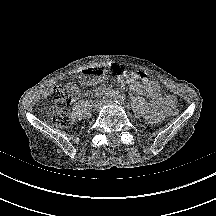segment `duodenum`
Listing matches in <instances>:
<instances>
[{"mask_svg":"<svg viewBox=\"0 0 216 216\" xmlns=\"http://www.w3.org/2000/svg\"><path fill=\"white\" fill-rule=\"evenodd\" d=\"M104 91H105V89H100V90H99V93L104 92Z\"/></svg>","mask_w":216,"mask_h":216,"instance_id":"1","label":"duodenum"}]
</instances>
